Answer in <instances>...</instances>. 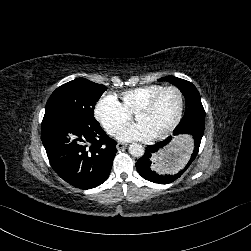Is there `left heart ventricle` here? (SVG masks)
Here are the masks:
<instances>
[{"instance_id": "b2bd125f", "label": "left heart ventricle", "mask_w": 251, "mask_h": 251, "mask_svg": "<svg viewBox=\"0 0 251 251\" xmlns=\"http://www.w3.org/2000/svg\"><path fill=\"white\" fill-rule=\"evenodd\" d=\"M180 97L177 92L165 93L152 109H141L134 112L137 120L149 121L157 132L172 124L179 113Z\"/></svg>"}]
</instances>
